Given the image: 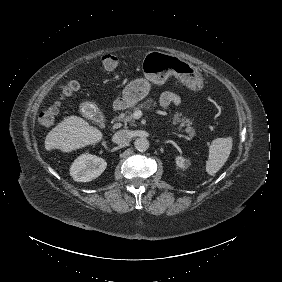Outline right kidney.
Wrapping results in <instances>:
<instances>
[{"label":"right kidney","mask_w":282,"mask_h":282,"mask_svg":"<svg viewBox=\"0 0 282 282\" xmlns=\"http://www.w3.org/2000/svg\"><path fill=\"white\" fill-rule=\"evenodd\" d=\"M106 167V160L91 154L88 148L74 158L69 166V175L76 182H89L100 176Z\"/></svg>","instance_id":"ca27d5eb"}]
</instances>
